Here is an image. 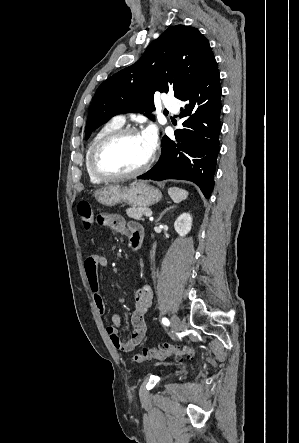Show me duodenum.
Returning a JSON list of instances; mask_svg holds the SVG:
<instances>
[{
    "label": "duodenum",
    "mask_w": 299,
    "mask_h": 443,
    "mask_svg": "<svg viewBox=\"0 0 299 443\" xmlns=\"http://www.w3.org/2000/svg\"><path fill=\"white\" fill-rule=\"evenodd\" d=\"M141 243L138 241H133L131 242V244L129 245V249L130 251L134 252L136 251L139 247H140Z\"/></svg>",
    "instance_id": "1"
}]
</instances>
